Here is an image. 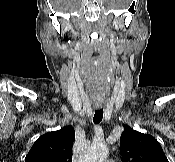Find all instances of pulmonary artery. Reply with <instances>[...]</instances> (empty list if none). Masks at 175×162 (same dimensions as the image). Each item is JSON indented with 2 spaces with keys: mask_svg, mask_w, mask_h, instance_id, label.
Segmentation results:
<instances>
[{
  "mask_svg": "<svg viewBox=\"0 0 175 162\" xmlns=\"http://www.w3.org/2000/svg\"><path fill=\"white\" fill-rule=\"evenodd\" d=\"M105 162H112V161L107 160V161H105Z\"/></svg>",
  "mask_w": 175,
  "mask_h": 162,
  "instance_id": "obj_1",
  "label": "pulmonary artery"
}]
</instances>
